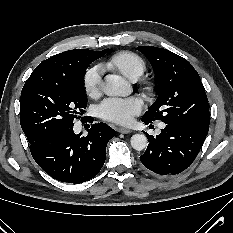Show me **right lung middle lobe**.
I'll return each mask as SVG.
<instances>
[{
  "instance_id": "1",
  "label": "right lung middle lobe",
  "mask_w": 233,
  "mask_h": 233,
  "mask_svg": "<svg viewBox=\"0 0 233 233\" xmlns=\"http://www.w3.org/2000/svg\"><path fill=\"white\" fill-rule=\"evenodd\" d=\"M100 57L74 56L65 73L33 71L20 100V124L29 144L51 131L74 125L87 106L83 83L86 69Z\"/></svg>"
}]
</instances>
